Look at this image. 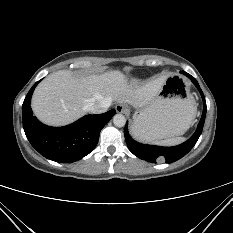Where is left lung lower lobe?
Returning <instances> with one entry per match:
<instances>
[{
  "label": "left lung lower lobe",
  "instance_id": "1",
  "mask_svg": "<svg viewBox=\"0 0 233 233\" xmlns=\"http://www.w3.org/2000/svg\"><path fill=\"white\" fill-rule=\"evenodd\" d=\"M182 73L191 79V81L199 90L201 97L203 99L204 108L197 130L191 136V138H189L187 141H185L184 143L178 146L160 147V146L142 144L132 139V137L129 135L128 132V126H127L128 124H126L124 133H125V140L127 146L129 150L140 159L149 161L151 163H156L157 161L160 160L166 161L167 163L175 162L180 158H182L184 155H186L193 148V146L196 144L198 138L202 133L206 111H207L205 97L196 79L186 72H182Z\"/></svg>",
  "mask_w": 233,
  "mask_h": 233
}]
</instances>
